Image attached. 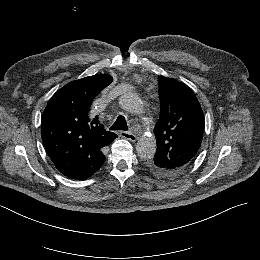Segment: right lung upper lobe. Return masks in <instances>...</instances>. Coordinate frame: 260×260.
Instances as JSON below:
<instances>
[{"mask_svg": "<svg viewBox=\"0 0 260 260\" xmlns=\"http://www.w3.org/2000/svg\"><path fill=\"white\" fill-rule=\"evenodd\" d=\"M112 80L110 75L98 74L72 81L51 97L44 110V146L56 168L69 178L92 176L105 162L104 147L117 138L89 114L93 99Z\"/></svg>", "mask_w": 260, "mask_h": 260, "instance_id": "cb5924a9", "label": "right lung upper lobe"}]
</instances>
